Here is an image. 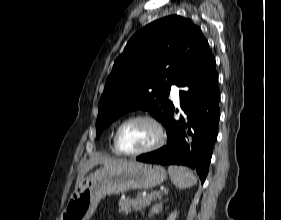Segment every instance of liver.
<instances>
[{"instance_id": "6515ba94", "label": "liver", "mask_w": 281, "mask_h": 220, "mask_svg": "<svg viewBox=\"0 0 281 220\" xmlns=\"http://www.w3.org/2000/svg\"><path fill=\"white\" fill-rule=\"evenodd\" d=\"M128 163L129 162L124 159H116L101 154H94L79 171L75 188H77L81 184V182L85 178V175L98 164L103 165L104 168H115L127 165Z\"/></svg>"}]
</instances>
